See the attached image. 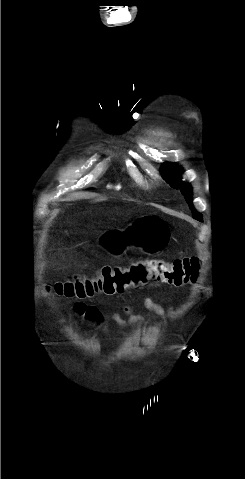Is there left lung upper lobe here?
<instances>
[{"label":"left lung upper lobe","mask_w":245,"mask_h":479,"mask_svg":"<svg viewBox=\"0 0 245 479\" xmlns=\"http://www.w3.org/2000/svg\"><path fill=\"white\" fill-rule=\"evenodd\" d=\"M183 170L177 166L176 164H166L162 168V175L164 179L170 183L173 188H180L182 194L185 196L186 201L190 205V209L193 211V218L202 221L201 215L196 212L192 206V198H191V188L188 184L179 182L180 176Z\"/></svg>","instance_id":"left-lung-upper-lobe-1"}]
</instances>
